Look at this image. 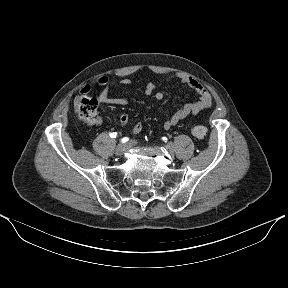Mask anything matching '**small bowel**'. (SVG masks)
<instances>
[{"instance_id":"1","label":"small bowel","mask_w":288,"mask_h":288,"mask_svg":"<svg viewBox=\"0 0 288 288\" xmlns=\"http://www.w3.org/2000/svg\"><path fill=\"white\" fill-rule=\"evenodd\" d=\"M178 79L181 83L189 86L197 95V100L184 104L181 106L170 118H168L163 127L165 129H170L171 127L177 125L179 122L184 120L189 115H198L203 110L211 107L212 105V97L208 90L197 80L194 78L185 75V74H178L174 76ZM174 77H169L167 80H171ZM93 84L99 88H101L100 94L98 99L100 103L104 105H115V106H124L128 104L127 97H111L109 94L110 87L115 85L116 82L112 81L106 76H102L96 79ZM119 84L130 88L132 83L129 79H122L119 81ZM159 83L152 82L149 83L145 88L146 95L154 94L156 100L160 101L163 99L164 95L161 91H157ZM91 91L90 85H85L81 89V94H88ZM119 121L121 125H126L128 123V115L126 113H121L119 117ZM102 120L99 118L96 124H100ZM142 129L141 123L137 122L134 123L130 128V133L136 134L139 133Z\"/></svg>"}]
</instances>
